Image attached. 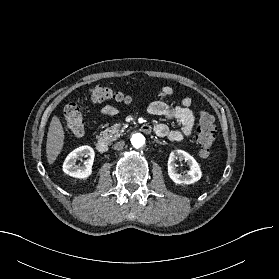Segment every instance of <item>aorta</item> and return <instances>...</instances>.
<instances>
[{
	"mask_svg": "<svg viewBox=\"0 0 279 279\" xmlns=\"http://www.w3.org/2000/svg\"><path fill=\"white\" fill-rule=\"evenodd\" d=\"M131 143L134 148L139 149L145 144V138L141 133H134L131 137Z\"/></svg>",
	"mask_w": 279,
	"mask_h": 279,
	"instance_id": "aorta-1",
	"label": "aorta"
}]
</instances>
